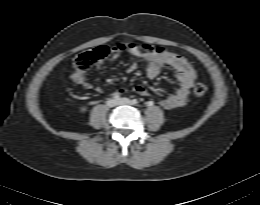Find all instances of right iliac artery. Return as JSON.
Segmentation results:
<instances>
[{
	"mask_svg": "<svg viewBox=\"0 0 260 205\" xmlns=\"http://www.w3.org/2000/svg\"><path fill=\"white\" fill-rule=\"evenodd\" d=\"M120 97L118 95H114V99L118 100Z\"/></svg>",
	"mask_w": 260,
	"mask_h": 205,
	"instance_id": "obj_1",
	"label": "right iliac artery"
}]
</instances>
